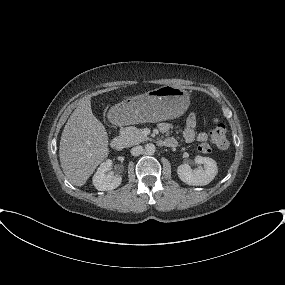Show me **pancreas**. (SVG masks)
Masks as SVG:
<instances>
[{"label":"pancreas","mask_w":285,"mask_h":285,"mask_svg":"<svg viewBox=\"0 0 285 285\" xmlns=\"http://www.w3.org/2000/svg\"><path fill=\"white\" fill-rule=\"evenodd\" d=\"M120 138L127 147L149 140V137L144 135L141 129L133 126L123 128L120 132Z\"/></svg>","instance_id":"obj_1"}]
</instances>
